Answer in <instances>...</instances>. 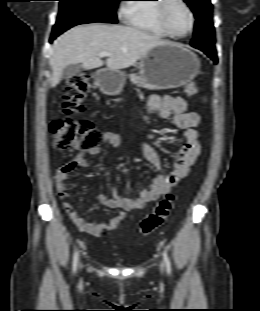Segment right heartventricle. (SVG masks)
<instances>
[{
  "instance_id": "obj_1",
  "label": "right heart ventricle",
  "mask_w": 260,
  "mask_h": 311,
  "mask_svg": "<svg viewBox=\"0 0 260 311\" xmlns=\"http://www.w3.org/2000/svg\"><path fill=\"white\" fill-rule=\"evenodd\" d=\"M135 2H151L159 0H134ZM158 4V3H157ZM157 4L151 3H133L128 4L124 11V17L131 26L148 32L157 37H168L161 28L157 16Z\"/></svg>"
}]
</instances>
